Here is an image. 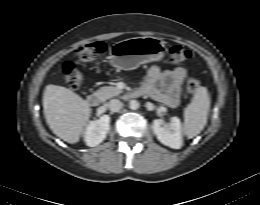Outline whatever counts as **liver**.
I'll use <instances>...</instances> for the list:
<instances>
[{"label": "liver", "mask_w": 260, "mask_h": 205, "mask_svg": "<svg viewBox=\"0 0 260 205\" xmlns=\"http://www.w3.org/2000/svg\"><path fill=\"white\" fill-rule=\"evenodd\" d=\"M43 113L52 132L74 144L79 141L89 122L91 108L72 90L49 84L43 93Z\"/></svg>", "instance_id": "6515ba94"}]
</instances>
